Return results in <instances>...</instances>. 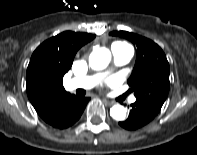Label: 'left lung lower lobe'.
I'll use <instances>...</instances> for the list:
<instances>
[{
	"mask_svg": "<svg viewBox=\"0 0 197 155\" xmlns=\"http://www.w3.org/2000/svg\"><path fill=\"white\" fill-rule=\"evenodd\" d=\"M131 106L132 109L129 113L128 119L119 122V125L127 130H135L146 125L158 114V112L138 101Z\"/></svg>",
	"mask_w": 197,
	"mask_h": 155,
	"instance_id": "left-lung-lower-lobe-1",
	"label": "left lung lower lobe"
}]
</instances>
